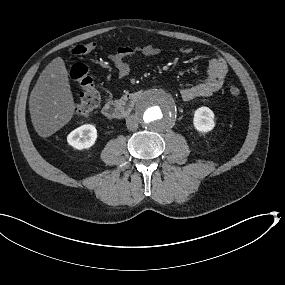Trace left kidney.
I'll return each mask as SVG.
<instances>
[{
  "label": "left kidney",
  "mask_w": 285,
  "mask_h": 285,
  "mask_svg": "<svg viewBox=\"0 0 285 285\" xmlns=\"http://www.w3.org/2000/svg\"><path fill=\"white\" fill-rule=\"evenodd\" d=\"M192 123L198 133L208 134L216 127L214 112L209 107H199L193 113Z\"/></svg>",
  "instance_id": "5707ae66"
}]
</instances>
